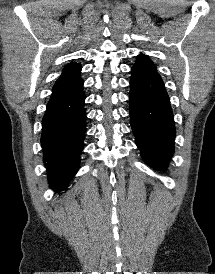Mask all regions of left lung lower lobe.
Returning a JSON list of instances; mask_svg holds the SVG:
<instances>
[{
	"label": "left lung lower lobe",
	"instance_id": "left-lung-lower-lobe-1",
	"mask_svg": "<svg viewBox=\"0 0 215 274\" xmlns=\"http://www.w3.org/2000/svg\"><path fill=\"white\" fill-rule=\"evenodd\" d=\"M131 127L143 160L166 168L174 152L175 124L168 94L157 71L132 67L130 78Z\"/></svg>",
	"mask_w": 215,
	"mask_h": 274
}]
</instances>
